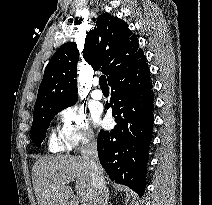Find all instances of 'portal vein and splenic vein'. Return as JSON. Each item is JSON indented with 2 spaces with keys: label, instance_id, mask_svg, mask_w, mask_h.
Returning a JSON list of instances; mask_svg holds the SVG:
<instances>
[{
  "label": "portal vein and splenic vein",
  "instance_id": "portal-vein-and-splenic-vein-1",
  "mask_svg": "<svg viewBox=\"0 0 212 205\" xmlns=\"http://www.w3.org/2000/svg\"><path fill=\"white\" fill-rule=\"evenodd\" d=\"M69 183V182H68ZM64 184H67V183H64ZM82 205H88L87 203H83Z\"/></svg>",
  "mask_w": 212,
  "mask_h": 205
}]
</instances>
